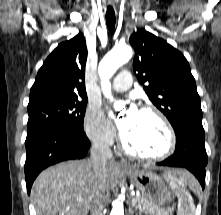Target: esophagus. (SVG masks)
<instances>
[{
	"instance_id": "esophagus-1",
	"label": "esophagus",
	"mask_w": 221,
	"mask_h": 215,
	"mask_svg": "<svg viewBox=\"0 0 221 215\" xmlns=\"http://www.w3.org/2000/svg\"><path fill=\"white\" fill-rule=\"evenodd\" d=\"M108 1H109V4L113 5V0H108ZM118 165L119 167L124 168V169L132 168L131 165L125 159H119Z\"/></svg>"
}]
</instances>
